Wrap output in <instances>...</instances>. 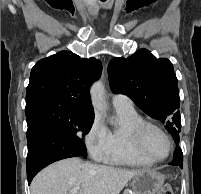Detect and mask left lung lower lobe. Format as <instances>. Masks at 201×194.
<instances>
[{"label": "left lung lower lobe", "instance_id": "0a47b994", "mask_svg": "<svg viewBox=\"0 0 201 194\" xmlns=\"http://www.w3.org/2000/svg\"><path fill=\"white\" fill-rule=\"evenodd\" d=\"M175 144L179 145V136L174 138ZM170 165L179 166L181 169L183 168V154L179 147H177L174 151L173 155V161L170 163Z\"/></svg>", "mask_w": 201, "mask_h": 194}]
</instances>
